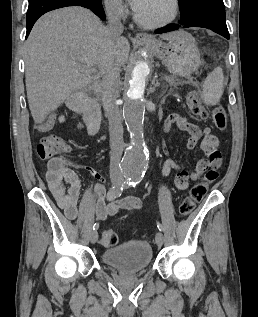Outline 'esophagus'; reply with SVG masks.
<instances>
[{
	"label": "esophagus",
	"mask_w": 258,
	"mask_h": 317,
	"mask_svg": "<svg viewBox=\"0 0 258 317\" xmlns=\"http://www.w3.org/2000/svg\"><path fill=\"white\" fill-rule=\"evenodd\" d=\"M152 39V36L146 33H137L135 36V40H149Z\"/></svg>",
	"instance_id": "34e87169"
}]
</instances>
